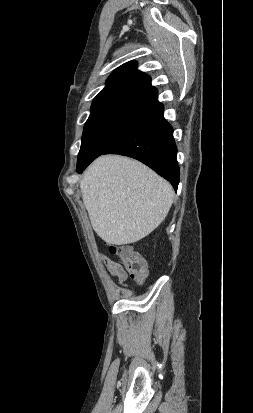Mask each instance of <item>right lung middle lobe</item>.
<instances>
[{
  "label": "right lung middle lobe",
  "mask_w": 253,
  "mask_h": 413,
  "mask_svg": "<svg viewBox=\"0 0 253 413\" xmlns=\"http://www.w3.org/2000/svg\"><path fill=\"white\" fill-rule=\"evenodd\" d=\"M149 118L123 113L103 114L85 123L78 165L93 161L111 146L137 130Z\"/></svg>",
  "instance_id": "right-lung-middle-lobe-1"
}]
</instances>
